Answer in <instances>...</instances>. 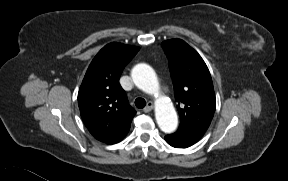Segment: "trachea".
<instances>
[{
  "label": "trachea",
  "instance_id": "1",
  "mask_svg": "<svg viewBox=\"0 0 288 181\" xmlns=\"http://www.w3.org/2000/svg\"><path fill=\"white\" fill-rule=\"evenodd\" d=\"M135 105L137 108L142 109L145 107L146 101L143 98H137L135 100Z\"/></svg>",
  "mask_w": 288,
  "mask_h": 181
}]
</instances>
